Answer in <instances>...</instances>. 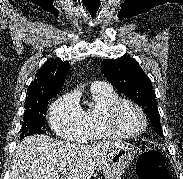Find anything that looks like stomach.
<instances>
[{
	"instance_id": "obj_1",
	"label": "stomach",
	"mask_w": 183,
	"mask_h": 179,
	"mask_svg": "<svg viewBox=\"0 0 183 179\" xmlns=\"http://www.w3.org/2000/svg\"><path fill=\"white\" fill-rule=\"evenodd\" d=\"M135 156L134 147L128 142H115L105 152L99 166L105 179H121Z\"/></svg>"
}]
</instances>
